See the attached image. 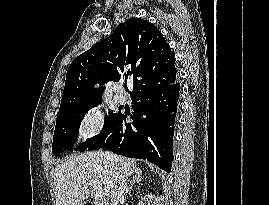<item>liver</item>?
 <instances>
[{"mask_svg":"<svg viewBox=\"0 0 269 205\" xmlns=\"http://www.w3.org/2000/svg\"><path fill=\"white\" fill-rule=\"evenodd\" d=\"M111 154V153H110ZM104 151H92L73 155L58 164L54 171L56 205H83L89 198V181L94 180L108 196L114 184L116 162L121 166L126 178L139 170L134 160Z\"/></svg>","mask_w":269,"mask_h":205,"instance_id":"obj_1","label":"liver"}]
</instances>
